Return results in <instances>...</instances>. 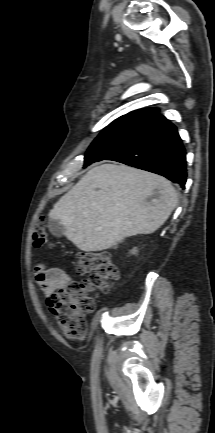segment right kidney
<instances>
[{
  "instance_id": "1",
  "label": "right kidney",
  "mask_w": 215,
  "mask_h": 433,
  "mask_svg": "<svg viewBox=\"0 0 215 433\" xmlns=\"http://www.w3.org/2000/svg\"><path fill=\"white\" fill-rule=\"evenodd\" d=\"M135 252H136V250L134 249V250H133V253H135Z\"/></svg>"
}]
</instances>
